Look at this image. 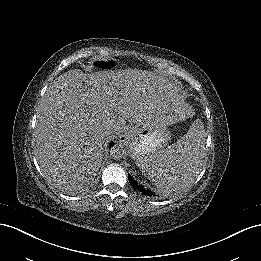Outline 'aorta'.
Masks as SVG:
<instances>
[{
    "instance_id": "aorta-1",
    "label": "aorta",
    "mask_w": 261,
    "mask_h": 261,
    "mask_svg": "<svg viewBox=\"0 0 261 261\" xmlns=\"http://www.w3.org/2000/svg\"><path fill=\"white\" fill-rule=\"evenodd\" d=\"M111 155L114 159H121L125 156V150L122 144H116L111 150Z\"/></svg>"
}]
</instances>
